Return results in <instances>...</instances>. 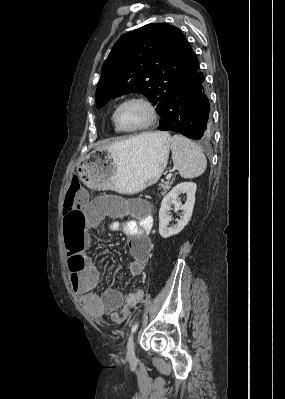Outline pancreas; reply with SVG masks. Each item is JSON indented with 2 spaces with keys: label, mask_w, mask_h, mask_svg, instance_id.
Wrapping results in <instances>:
<instances>
[{
  "label": "pancreas",
  "mask_w": 285,
  "mask_h": 399,
  "mask_svg": "<svg viewBox=\"0 0 285 399\" xmlns=\"http://www.w3.org/2000/svg\"><path fill=\"white\" fill-rule=\"evenodd\" d=\"M173 184V180L166 181L164 183H161L159 186V189H162L161 194L164 195L167 190L170 189L171 185Z\"/></svg>",
  "instance_id": "cf45deb5"
}]
</instances>
